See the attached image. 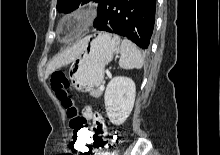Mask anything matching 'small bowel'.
Wrapping results in <instances>:
<instances>
[{"label": "small bowel", "mask_w": 220, "mask_h": 155, "mask_svg": "<svg viewBox=\"0 0 220 155\" xmlns=\"http://www.w3.org/2000/svg\"><path fill=\"white\" fill-rule=\"evenodd\" d=\"M92 108H93L92 105H87V107L84 110L83 114H84V119H87L88 121H92L93 122V125H92V127L90 129H92L93 135L95 137L97 125L98 124H103L104 126H106V125H105L104 121L92 110ZM72 143H73V141H72ZM91 145L92 144H90V146L88 147V151L90 150ZM87 154H88V152H87Z\"/></svg>", "instance_id": "obj_1"}]
</instances>
